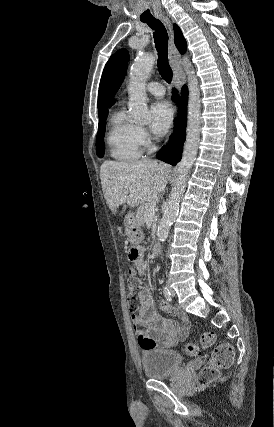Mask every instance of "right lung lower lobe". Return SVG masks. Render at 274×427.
<instances>
[{"label": "right lung lower lobe", "mask_w": 274, "mask_h": 427, "mask_svg": "<svg viewBox=\"0 0 274 427\" xmlns=\"http://www.w3.org/2000/svg\"><path fill=\"white\" fill-rule=\"evenodd\" d=\"M175 91V89H174ZM188 88L183 86L182 97L179 103V118L176 120L175 132L170 138V143L164 146L157 154V158L175 165L180 161L182 155L183 142L185 140L186 129V106H187ZM177 99V94L174 92L173 100Z\"/></svg>", "instance_id": "obj_1"}]
</instances>
